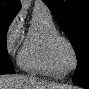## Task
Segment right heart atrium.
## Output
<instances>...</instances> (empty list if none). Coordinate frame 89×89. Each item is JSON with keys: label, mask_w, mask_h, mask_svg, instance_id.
Masks as SVG:
<instances>
[{"label": "right heart atrium", "mask_w": 89, "mask_h": 89, "mask_svg": "<svg viewBox=\"0 0 89 89\" xmlns=\"http://www.w3.org/2000/svg\"><path fill=\"white\" fill-rule=\"evenodd\" d=\"M22 28L23 17L19 14L10 23L6 33L5 43L8 53L11 54L16 49L21 37Z\"/></svg>", "instance_id": "right-heart-atrium-1"}]
</instances>
